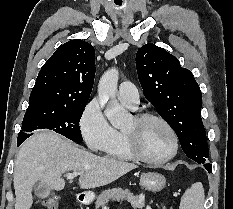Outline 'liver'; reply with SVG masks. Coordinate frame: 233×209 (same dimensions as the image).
<instances>
[{"label": "liver", "mask_w": 233, "mask_h": 209, "mask_svg": "<svg viewBox=\"0 0 233 209\" xmlns=\"http://www.w3.org/2000/svg\"><path fill=\"white\" fill-rule=\"evenodd\" d=\"M132 163L100 157L54 132H40L26 140L16 155L14 168L15 209H30L32 188L36 182L60 191L62 174L79 172V186L93 189L110 184L136 169Z\"/></svg>", "instance_id": "1"}]
</instances>
